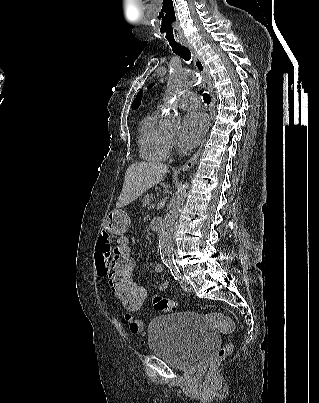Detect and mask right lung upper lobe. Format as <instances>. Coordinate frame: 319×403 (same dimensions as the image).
I'll use <instances>...</instances> for the list:
<instances>
[{"instance_id":"1","label":"right lung upper lobe","mask_w":319,"mask_h":403,"mask_svg":"<svg viewBox=\"0 0 319 403\" xmlns=\"http://www.w3.org/2000/svg\"><path fill=\"white\" fill-rule=\"evenodd\" d=\"M141 98H142V91H140V92L137 94L136 99H134V102H133V104H132V109H137V108L140 106Z\"/></svg>"}]
</instances>
